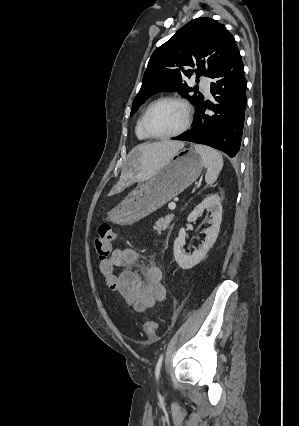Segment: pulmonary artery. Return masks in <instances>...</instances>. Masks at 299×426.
Segmentation results:
<instances>
[{"label":"pulmonary artery","mask_w":299,"mask_h":426,"mask_svg":"<svg viewBox=\"0 0 299 426\" xmlns=\"http://www.w3.org/2000/svg\"><path fill=\"white\" fill-rule=\"evenodd\" d=\"M201 87L206 95H210L211 93V81L208 78H203L201 80Z\"/></svg>","instance_id":"pulmonary-artery-1"}]
</instances>
